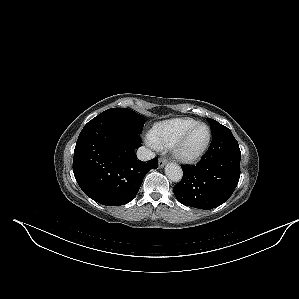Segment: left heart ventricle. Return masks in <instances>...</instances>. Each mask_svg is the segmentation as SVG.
<instances>
[{"instance_id": "b2bd125f", "label": "left heart ventricle", "mask_w": 299, "mask_h": 299, "mask_svg": "<svg viewBox=\"0 0 299 299\" xmlns=\"http://www.w3.org/2000/svg\"><path fill=\"white\" fill-rule=\"evenodd\" d=\"M207 139V129L203 126H199L188 137L184 150L187 153H194L198 151L205 143Z\"/></svg>"}]
</instances>
